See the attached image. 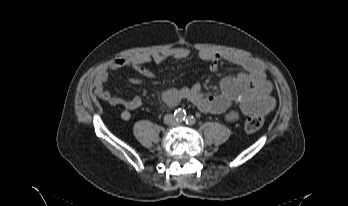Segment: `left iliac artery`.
<instances>
[{
	"label": "left iliac artery",
	"instance_id": "obj_1",
	"mask_svg": "<svg viewBox=\"0 0 348 206\" xmlns=\"http://www.w3.org/2000/svg\"><path fill=\"white\" fill-rule=\"evenodd\" d=\"M195 122H196L195 117H193L192 115L187 116V118H186V124H188V125H194Z\"/></svg>",
	"mask_w": 348,
	"mask_h": 206
}]
</instances>
